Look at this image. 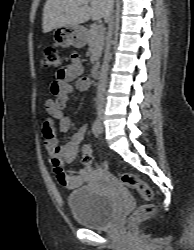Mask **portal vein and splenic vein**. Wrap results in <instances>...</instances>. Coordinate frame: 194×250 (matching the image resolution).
Segmentation results:
<instances>
[{
    "mask_svg": "<svg viewBox=\"0 0 194 250\" xmlns=\"http://www.w3.org/2000/svg\"><path fill=\"white\" fill-rule=\"evenodd\" d=\"M96 26H97V25H96ZM97 27H98V28H102V26H101V25H98Z\"/></svg>",
    "mask_w": 194,
    "mask_h": 250,
    "instance_id": "obj_1",
    "label": "portal vein and splenic vein"
}]
</instances>
